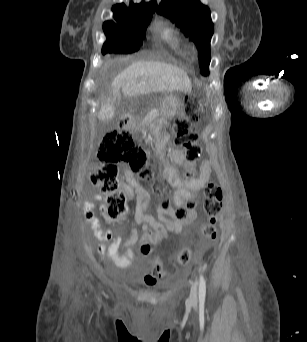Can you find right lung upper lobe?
<instances>
[{
  "label": "right lung upper lobe",
  "instance_id": "right-lung-upper-lobe-1",
  "mask_svg": "<svg viewBox=\"0 0 307 342\" xmlns=\"http://www.w3.org/2000/svg\"><path fill=\"white\" fill-rule=\"evenodd\" d=\"M156 8V2H142L140 4L131 2L129 8L124 4L114 5L112 11L117 23L106 21L103 24V30L105 34L110 35L142 36Z\"/></svg>",
  "mask_w": 307,
  "mask_h": 342
}]
</instances>
